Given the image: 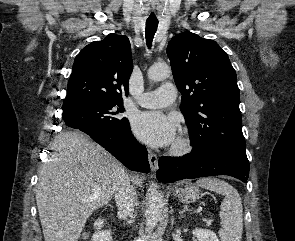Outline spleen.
I'll use <instances>...</instances> for the list:
<instances>
[{"instance_id":"spleen-1","label":"spleen","mask_w":295,"mask_h":241,"mask_svg":"<svg viewBox=\"0 0 295 241\" xmlns=\"http://www.w3.org/2000/svg\"><path fill=\"white\" fill-rule=\"evenodd\" d=\"M196 184L207 190L224 195L221 203L219 230L221 241H241L243 232V208L238 191L224 180L218 178H202Z\"/></svg>"}]
</instances>
